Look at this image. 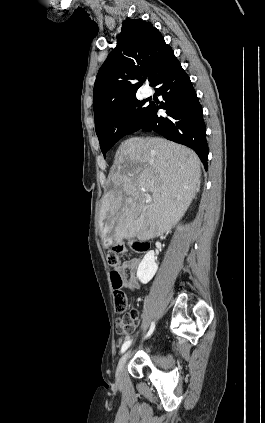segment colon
<instances>
[{
	"label": "colon",
	"instance_id": "1",
	"mask_svg": "<svg viewBox=\"0 0 265 423\" xmlns=\"http://www.w3.org/2000/svg\"><path fill=\"white\" fill-rule=\"evenodd\" d=\"M149 248V243L141 240H131L127 244L118 243L111 250L107 252L106 258L107 263L110 266H116L119 264L121 257L126 255L130 250L136 253H143ZM112 283L115 287L114 291V305L116 311L120 314V318L117 321V332L126 333L131 332L134 327L135 320L137 318V312L135 310H129L127 298L125 293L120 289L122 280L119 274L115 271L112 273Z\"/></svg>",
	"mask_w": 265,
	"mask_h": 423
}]
</instances>
